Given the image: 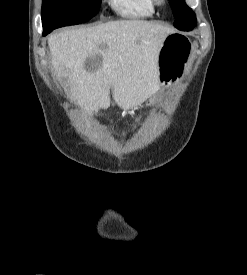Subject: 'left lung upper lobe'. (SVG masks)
<instances>
[{"mask_svg":"<svg viewBox=\"0 0 247 275\" xmlns=\"http://www.w3.org/2000/svg\"><path fill=\"white\" fill-rule=\"evenodd\" d=\"M169 3L176 19L174 26L182 31L192 30L196 25V17L184 0H169Z\"/></svg>","mask_w":247,"mask_h":275,"instance_id":"left-lung-upper-lobe-1","label":"left lung upper lobe"}]
</instances>
